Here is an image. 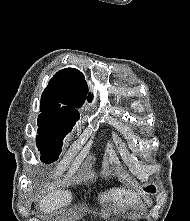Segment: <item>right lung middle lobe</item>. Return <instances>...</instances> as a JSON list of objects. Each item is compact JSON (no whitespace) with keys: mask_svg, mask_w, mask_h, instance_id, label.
Segmentation results:
<instances>
[{"mask_svg":"<svg viewBox=\"0 0 190 221\" xmlns=\"http://www.w3.org/2000/svg\"><path fill=\"white\" fill-rule=\"evenodd\" d=\"M37 147L45 164L56 161L61 153L62 140L72 130L73 123L38 118Z\"/></svg>","mask_w":190,"mask_h":221,"instance_id":"dd1d6c3e","label":"right lung middle lobe"}]
</instances>
